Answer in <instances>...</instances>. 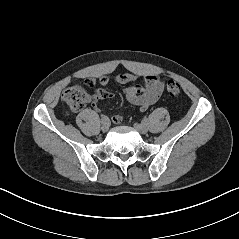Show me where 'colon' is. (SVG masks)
Instances as JSON below:
<instances>
[{
	"instance_id": "5ec220e1",
	"label": "colon",
	"mask_w": 239,
	"mask_h": 239,
	"mask_svg": "<svg viewBox=\"0 0 239 239\" xmlns=\"http://www.w3.org/2000/svg\"><path fill=\"white\" fill-rule=\"evenodd\" d=\"M89 87L94 86L93 80L89 84ZM167 91L170 96L176 99V102L179 103V97L181 94L180 85L173 80H170L167 83ZM63 102L69 107L71 111L81 110L89 100V95L81 85H74L67 88L62 94Z\"/></svg>"
}]
</instances>
